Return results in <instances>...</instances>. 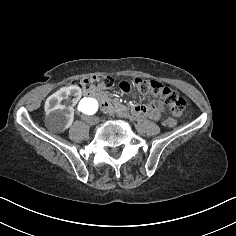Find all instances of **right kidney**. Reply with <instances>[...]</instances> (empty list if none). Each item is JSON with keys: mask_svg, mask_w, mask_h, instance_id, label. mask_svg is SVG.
I'll list each match as a JSON object with an SVG mask.
<instances>
[{"mask_svg": "<svg viewBox=\"0 0 236 236\" xmlns=\"http://www.w3.org/2000/svg\"><path fill=\"white\" fill-rule=\"evenodd\" d=\"M80 97L81 89L78 86L64 87L51 95L46 104L48 114L43 121L46 130L57 133L71 127L74 121L72 113Z\"/></svg>", "mask_w": 236, "mask_h": 236, "instance_id": "obj_1", "label": "right kidney"}]
</instances>
